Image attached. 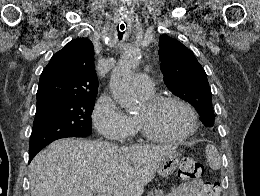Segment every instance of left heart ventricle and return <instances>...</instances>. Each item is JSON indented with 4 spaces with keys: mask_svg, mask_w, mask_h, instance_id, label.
Wrapping results in <instances>:
<instances>
[{
    "mask_svg": "<svg viewBox=\"0 0 260 196\" xmlns=\"http://www.w3.org/2000/svg\"><path fill=\"white\" fill-rule=\"evenodd\" d=\"M135 115L151 130L170 136L184 134L193 123L190 111L176 102L165 104L155 111L148 110L144 103ZM108 191L112 190H94V192Z\"/></svg>",
    "mask_w": 260,
    "mask_h": 196,
    "instance_id": "1",
    "label": "left heart ventricle"
}]
</instances>
